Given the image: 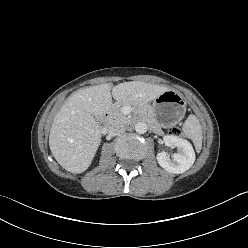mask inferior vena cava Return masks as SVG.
<instances>
[{"mask_svg":"<svg viewBox=\"0 0 248 248\" xmlns=\"http://www.w3.org/2000/svg\"><path fill=\"white\" fill-rule=\"evenodd\" d=\"M125 126L118 122L115 121L109 126V132L113 135H121L125 132Z\"/></svg>","mask_w":248,"mask_h":248,"instance_id":"inferior-vena-cava-1","label":"inferior vena cava"}]
</instances>
